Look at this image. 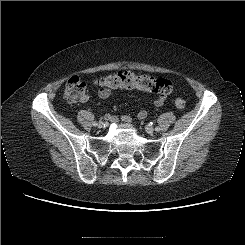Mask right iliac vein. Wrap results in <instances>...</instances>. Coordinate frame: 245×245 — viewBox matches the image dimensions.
Instances as JSON below:
<instances>
[{
    "instance_id": "right-iliac-vein-1",
    "label": "right iliac vein",
    "mask_w": 245,
    "mask_h": 245,
    "mask_svg": "<svg viewBox=\"0 0 245 245\" xmlns=\"http://www.w3.org/2000/svg\"><path fill=\"white\" fill-rule=\"evenodd\" d=\"M97 127L100 128V129H103V128L105 127V124H104L103 122L100 121V122L97 124Z\"/></svg>"
}]
</instances>
